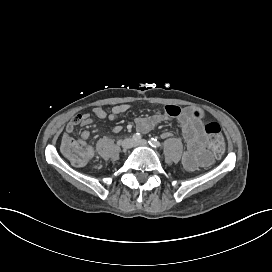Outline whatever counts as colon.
<instances>
[{
	"mask_svg": "<svg viewBox=\"0 0 272 272\" xmlns=\"http://www.w3.org/2000/svg\"><path fill=\"white\" fill-rule=\"evenodd\" d=\"M208 148L219 157L225 149V139L221 127L217 122H207L204 125ZM61 150L77 167H86L90 163L92 151L84 141H77L74 137H65L61 141Z\"/></svg>",
	"mask_w": 272,
	"mask_h": 272,
	"instance_id": "obj_1",
	"label": "colon"
}]
</instances>
